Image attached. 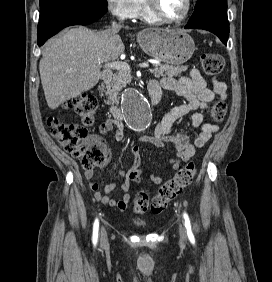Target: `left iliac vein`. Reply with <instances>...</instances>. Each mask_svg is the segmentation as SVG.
<instances>
[{"label": "left iliac vein", "instance_id": "1", "mask_svg": "<svg viewBox=\"0 0 272 282\" xmlns=\"http://www.w3.org/2000/svg\"><path fill=\"white\" fill-rule=\"evenodd\" d=\"M180 240L185 242L187 240L186 230L182 224L179 225Z\"/></svg>", "mask_w": 272, "mask_h": 282}]
</instances>
